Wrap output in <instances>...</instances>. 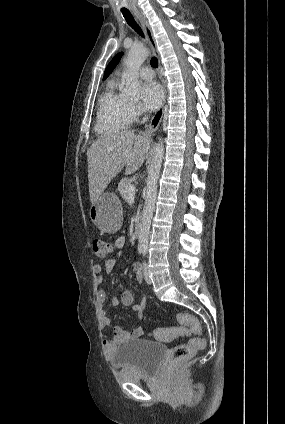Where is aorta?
Segmentation results:
<instances>
[{
    "instance_id": "762f6f07",
    "label": "aorta",
    "mask_w": 285,
    "mask_h": 424,
    "mask_svg": "<svg viewBox=\"0 0 285 424\" xmlns=\"http://www.w3.org/2000/svg\"><path fill=\"white\" fill-rule=\"evenodd\" d=\"M149 56V50L145 47H132L129 50L125 60L127 67L126 85L124 93L127 96L134 97L140 91V83L138 80V70L143 62ZM164 157L163 139L159 138V142L155 148V155L150 165L148 177L146 180V196L142 212L139 232V247L146 248L148 245L151 220L155 210V200L157 196L158 179Z\"/></svg>"
}]
</instances>
